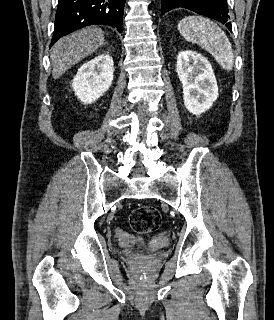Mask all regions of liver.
Wrapping results in <instances>:
<instances>
[{
    "label": "liver",
    "instance_id": "1",
    "mask_svg": "<svg viewBox=\"0 0 274 320\" xmlns=\"http://www.w3.org/2000/svg\"><path fill=\"white\" fill-rule=\"evenodd\" d=\"M104 32L97 26L83 28L64 36L51 48L52 76L54 80L65 74L69 68L88 58L104 44Z\"/></svg>",
    "mask_w": 274,
    "mask_h": 320
}]
</instances>
